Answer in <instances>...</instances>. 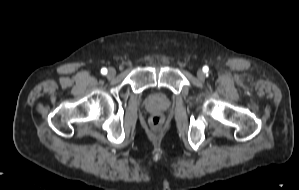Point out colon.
<instances>
[{"instance_id":"colon-1","label":"colon","mask_w":299,"mask_h":190,"mask_svg":"<svg viewBox=\"0 0 299 190\" xmlns=\"http://www.w3.org/2000/svg\"><path fill=\"white\" fill-rule=\"evenodd\" d=\"M162 124V117L160 115H154L151 118V125L153 127H159Z\"/></svg>"}]
</instances>
